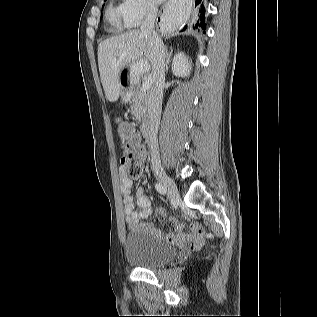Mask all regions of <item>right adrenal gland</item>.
I'll list each match as a JSON object with an SVG mask.
<instances>
[{
	"label": "right adrenal gland",
	"instance_id": "right-adrenal-gland-1",
	"mask_svg": "<svg viewBox=\"0 0 317 317\" xmlns=\"http://www.w3.org/2000/svg\"><path fill=\"white\" fill-rule=\"evenodd\" d=\"M172 53H173V49H171V51L170 52H168V49H167V47H165V54H166V71H168V69H169V63H170V61H171V57H172Z\"/></svg>",
	"mask_w": 317,
	"mask_h": 317
}]
</instances>
